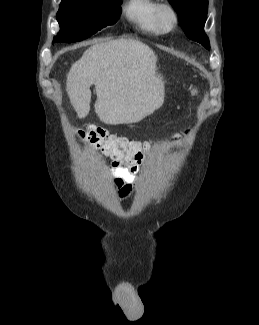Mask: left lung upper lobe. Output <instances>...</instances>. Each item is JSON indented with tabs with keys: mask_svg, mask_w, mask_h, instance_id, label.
<instances>
[{
	"mask_svg": "<svg viewBox=\"0 0 259 325\" xmlns=\"http://www.w3.org/2000/svg\"><path fill=\"white\" fill-rule=\"evenodd\" d=\"M182 22V28L191 40L210 49L209 39L204 33L208 0H168Z\"/></svg>",
	"mask_w": 259,
	"mask_h": 325,
	"instance_id": "5c2ea615",
	"label": "left lung upper lobe"
}]
</instances>
